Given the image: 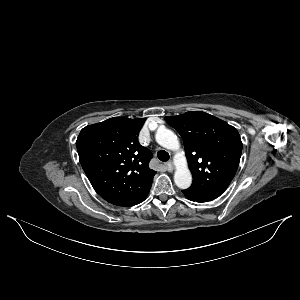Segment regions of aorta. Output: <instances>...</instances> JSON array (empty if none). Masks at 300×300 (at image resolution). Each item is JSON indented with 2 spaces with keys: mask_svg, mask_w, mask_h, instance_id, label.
I'll list each match as a JSON object with an SVG mask.
<instances>
[{
  "mask_svg": "<svg viewBox=\"0 0 300 300\" xmlns=\"http://www.w3.org/2000/svg\"><path fill=\"white\" fill-rule=\"evenodd\" d=\"M156 141L162 147L171 150L179 149V141L173 131L162 128L156 133ZM176 170L174 173V182L180 189H187L192 183V175L188 168L186 158L183 154H180L175 159Z\"/></svg>",
  "mask_w": 300,
  "mask_h": 300,
  "instance_id": "obj_1",
  "label": "aorta"
}]
</instances>
